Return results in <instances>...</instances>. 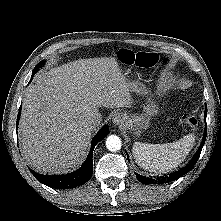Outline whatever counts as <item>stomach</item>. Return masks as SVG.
Segmentation results:
<instances>
[{"label": "stomach", "mask_w": 221, "mask_h": 221, "mask_svg": "<svg viewBox=\"0 0 221 221\" xmlns=\"http://www.w3.org/2000/svg\"><path fill=\"white\" fill-rule=\"evenodd\" d=\"M131 81V80H130ZM133 84V90L139 94H146L145 87L138 82L131 81ZM158 111V108L153 102L148 101L144 106V113L141 115L130 114L127 116L126 127L133 131L137 136H140L141 133L149 127L150 119Z\"/></svg>", "instance_id": "1"}]
</instances>
